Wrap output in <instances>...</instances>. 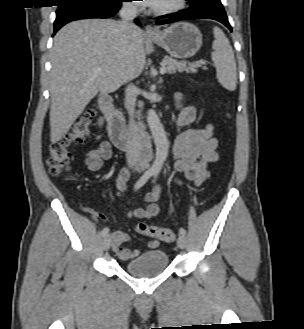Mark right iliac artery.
I'll use <instances>...</instances> for the list:
<instances>
[{"label":"right iliac artery","instance_id":"82829eb1","mask_svg":"<svg viewBox=\"0 0 304 329\" xmlns=\"http://www.w3.org/2000/svg\"><path fill=\"white\" fill-rule=\"evenodd\" d=\"M151 176H152V172L150 171L145 172L134 185V190H138L139 188H141ZM108 232H109V228H104L101 232V235L106 236Z\"/></svg>","mask_w":304,"mask_h":329}]
</instances>
